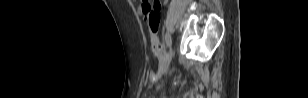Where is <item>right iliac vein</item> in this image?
Returning a JSON list of instances; mask_svg holds the SVG:
<instances>
[{
	"instance_id": "1",
	"label": "right iliac vein",
	"mask_w": 308,
	"mask_h": 98,
	"mask_svg": "<svg viewBox=\"0 0 308 98\" xmlns=\"http://www.w3.org/2000/svg\"><path fill=\"white\" fill-rule=\"evenodd\" d=\"M171 58H172V50L170 49V51L168 52L167 54V58H166V62L165 64L163 65V67L161 68V70L159 71L158 73V78H161L162 75L166 72V70L168 69L169 67V64H170V61H171Z\"/></svg>"
}]
</instances>
